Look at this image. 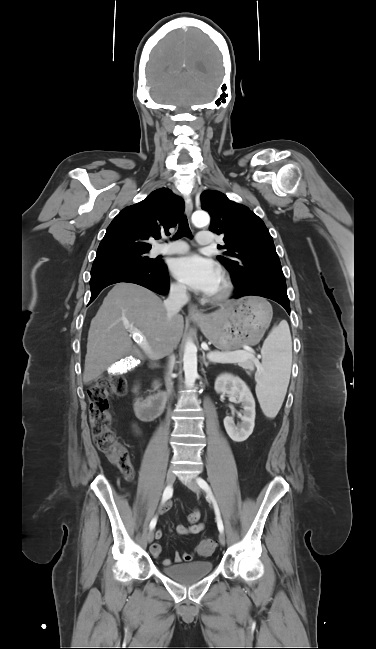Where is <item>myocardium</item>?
<instances>
[{
    "mask_svg": "<svg viewBox=\"0 0 376 649\" xmlns=\"http://www.w3.org/2000/svg\"><path fill=\"white\" fill-rule=\"evenodd\" d=\"M220 280H221L220 290L216 293H212L209 296V300L212 303H221L226 299H228L232 293L233 290L232 281L226 272L224 271L221 272Z\"/></svg>",
    "mask_w": 376,
    "mask_h": 649,
    "instance_id": "f54148a6",
    "label": "myocardium"
}]
</instances>
